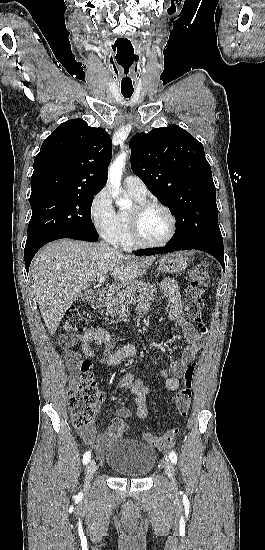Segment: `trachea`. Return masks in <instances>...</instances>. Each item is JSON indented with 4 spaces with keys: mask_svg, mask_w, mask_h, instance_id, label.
Instances as JSON below:
<instances>
[{
    "mask_svg": "<svg viewBox=\"0 0 265 550\" xmlns=\"http://www.w3.org/2000/svg\"><path fill=\"white\" fill-rule=\"evenodd\" d=\"M133 92H130V91H122V95L125 97V98H130L132 96Z\"/></svg>",
    "mask_w": 265,
    "mask_h": 550,
    "instance_id": "trachea-1",
    "label": "trachea"
}]
</instances>
